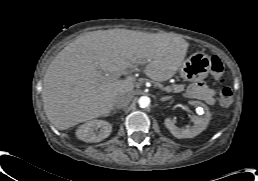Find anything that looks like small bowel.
Instances as JSON below:
<instances>
[{
	"mask_svg": "<svg viewBox=\"0 0 258 181\" xmlns=\"http://www.w3.org/2000/svg\"><path fill=\"white\" fill-rule=\"evenodd\" d=\"M186 95L190 98L203 100L209 105L215 103V93L205 82H198L190 85L186 90Z\"/></svg>",
	"mask_w": 258,
	"mask_h": 181,
	"instance_id": "obj_1",
	"label": "small bowel"
}]
</instances>
